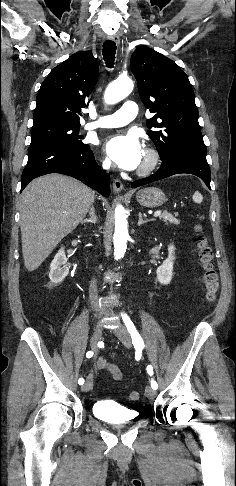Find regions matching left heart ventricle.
Masks as SVG:
<instances>
[{
  "label": "left heart ventricle",
  "instance_id": "b2bd125f",
  "mask_svg": "<svg viewBox=\"0 0 236 486\" xmlns=\"http://www.w3.org/2000/svg\"><path fill=\"white\" fill-rule=\"evenodd\" d=\"M143 162H144V157H143V160H142V163H141V165L143 164Z\"/></svg>",
  "mask_w": 236,
  "mask_h": 486
}]
</instances>
